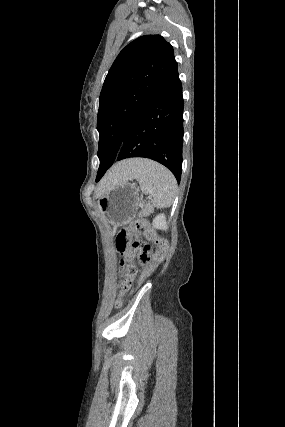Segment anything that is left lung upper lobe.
Listing matches in <instances>:
<instances>
[{
  "label": "left lung upper lobe",
  "instance_id": "obj_1",
  "mask_svg": "<svg viewBox=\"0 0 285 427\" xmlns=\"http://www.w3.org/2000/svg\"><path fill=\"white\" fill-rule=\"evenodd\" d=\"M176 65L173 47L160 35L139 37L119 53L99 97L96 181L114 163L134 117Z\"/></svg>",
  "mask_w": 285,
  "mask_h": 427
}]
</instances>
